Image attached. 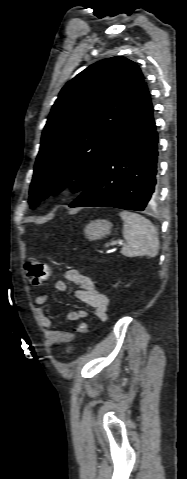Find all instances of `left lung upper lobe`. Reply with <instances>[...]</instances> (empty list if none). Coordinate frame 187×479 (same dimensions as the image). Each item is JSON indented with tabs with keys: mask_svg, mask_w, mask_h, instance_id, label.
<instances>
[{
	"mask_svg": "<svg viewBox=\"0 0 187 479\" xmlns=\"http://www.w3.org/2000/svg\"><path fill=\"white\" fill-rule=\"evenodd\" d=\"M143 81L136 63L116 56L92 64L62 88L43 130L31 208L73 178L89 180L117 141Z\"/></svg>",
	"mask_w": 187,
	"mask_h": 479,
	"instance_id": "1",
	"label": "left lung upper lobe"
}]
</instances>
